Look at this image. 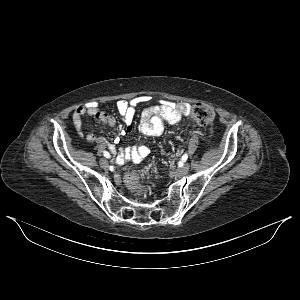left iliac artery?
Here are the masks:
<instances>
[{
    "instance_id": "44dca946",
    "label": "left iliac artery",
    "mask_w": 300,
    "mask_h": 300,
    "mask_svg": "<svg viewBox=\"0 0 300 300\" xmlns=\"http://www.w3.org/2000/svg\"><path fill=\"white\" fill-rule=\"evenodd\" d=\"M188 159V154L185 153L183 156H182V161L185 162L186 160Z\"/></svg>"
}]
</instances>
